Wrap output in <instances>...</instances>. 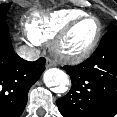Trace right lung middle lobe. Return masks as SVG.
<instances>
[{
	"label": "right lung middle lobe",
	"instance_id": "right-lung-middle-lobe-1",
	"mask_svg": "<svg viewBox=\"0 0 117 117\" xmlns=\"http://www.w3.org/2000/svg\"><path fill=\"white\" fill-rule=\"evenodd\" d=\"M11 3L6 4H0V15H5L7 13V10L10 8Z\"/></svg>",
	"mask_w": 117,
	"mask_h": 117
}]
</instances>
